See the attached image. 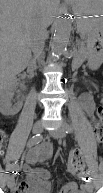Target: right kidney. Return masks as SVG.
Instances as JSON below:
<instances>
[{
    "label": "right kidney",
    "mask_w": 103,
    "mask_h": 193,
    "mask_svg": "<svg viewBox=\"0 0 103 193\" xmlns=\"http://www.w3.org/2000/svg\"><path fill=\"white\" fill-rule=\"evenodd\" d=\"M17 86L16 77L13 78H4L1 77L0 82V112L5 116H13L17 114L21 107L22 103L12 104L13 99V90Z\"/></svg>",
    "instance_id": "right-kidney-1"
}]
</instances>
